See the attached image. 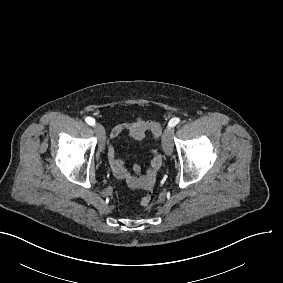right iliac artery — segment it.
Returning <instances> with one entry per match:
<instances>
[{"mask_svg":"<svg viewBox=\"0 0 283 283\" xmlns=\"http://www.w3.org/2000/svg\"><path fill=\"white\" fill-rule=\"evenodd\" d=\"M85 121H86L90 126L95 125V119H93L92 117H87V118L85 119Z\"/></svg>","mask_w":283,"mask_h":283,"instance_id":"82829eb1","label":"right iliac artery"}]
</instances>
